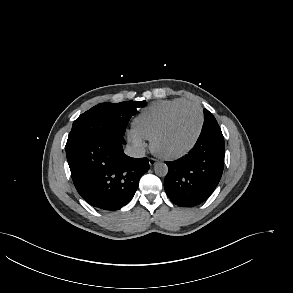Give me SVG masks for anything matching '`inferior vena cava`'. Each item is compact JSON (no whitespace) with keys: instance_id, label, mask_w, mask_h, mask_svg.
I'll use <instances>...</instances> for the list:
<instances>
[{"instance_id":"obj_1","label":"inferior vena cava","mask_w":293,"mask_h":293,"mask_svg":"<svg viewBox=\"0 0 293 293\" xmlns=\"http://www.w3.org/2000/svg\"><path fill=\"white\" fill-rule=\"evenodd\" d=\"M125 154L134 158H142L145 156V149L141 145H127Z\"/></svg>"}]
</instances>
